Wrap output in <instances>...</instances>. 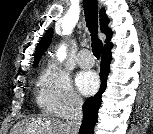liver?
<instances>
[{
    "label": "liver",
    "instance_id": "liver-1",
    "mask_svg": "<svg viewBox=\"0 0 153 134\" xmlns=\"http://www.w3.org/2000/svg\"><path fill=\"white\" fill-rule=\"evenodd\" d=\"M14 134H64L63 123L54 119L38 118L16 124Z\"/></svg>",
    "mask_w": 153,
    "mask_h": 134
}]
</instances>
